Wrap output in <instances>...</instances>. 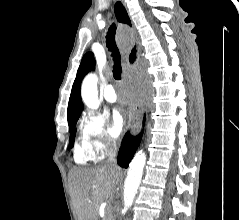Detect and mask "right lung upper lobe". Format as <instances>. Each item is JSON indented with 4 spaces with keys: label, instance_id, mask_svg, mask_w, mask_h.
Returning <instances> with one entry per match:
<instances>
[{
    "label": "right lung upper lobe",
    "instance_id": "cb5924a9",
    "mask_svg": "<svg viewBox=\"0 0 239 220\" xmlns=\"http://www.w3.org/2000/svg\"><path fill=\"white\" fill-rule=\"evenodd\" d=\"M95 67V60L91 52L86 53L77 71V76L72 86L67 109L68 123L79 118L84 105L81 100L80 87L84 76Z\"/></svg>",
    "mask_w": 239,
    "mask_h": 220
}]
</instances>
